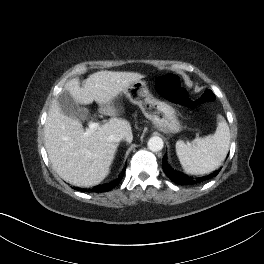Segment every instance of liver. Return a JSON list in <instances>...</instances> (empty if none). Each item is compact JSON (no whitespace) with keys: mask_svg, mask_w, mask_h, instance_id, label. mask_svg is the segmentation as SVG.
<instances>
[{"mask_svg":"<svg viewBox=\"0 0 264 264\" xmlns=\"http://www.w3.org/2000/svg\"><path fill=\"white\" fill-rule=\"evenodd\" d=\"M143 77L134 72L99 71L91 74L82 87L78 78L65 84L64 89L77 103L89 105L95 101L100 113L113 117L85 135L79 120L66 116L56 100L52 103L44 126L45 147L53 169L62 179L88 187L106 178L117 149L108 136L123 135L128 143L133 139L130 123L115 117L118 112L111 106L112 100Z\"/></svg>","mask_w":264,"mask_h":264,"instance_id":"liver-1","label":"liver"}]
</instances>
